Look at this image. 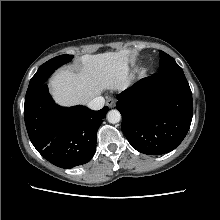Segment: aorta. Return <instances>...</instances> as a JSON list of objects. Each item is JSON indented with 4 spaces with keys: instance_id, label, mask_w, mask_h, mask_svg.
Masks as SVG:
<instances>
[{
    "instance_id": "1",
    "label": "aorta",
    "mask_w": 220,
    "mask_h": 220,
    "mask_svg": "<svg viewBox=\"0 0 220 220\" xmlns=\"http://www.w3.org/2000/svg\"><path fill=\"white\" fill-rule=\"evenodd\" d=\"M107 120L111 124H116L121 120V114L118 110H110L107 113Z\"/></svg>"
}]
</instances>
